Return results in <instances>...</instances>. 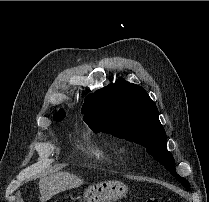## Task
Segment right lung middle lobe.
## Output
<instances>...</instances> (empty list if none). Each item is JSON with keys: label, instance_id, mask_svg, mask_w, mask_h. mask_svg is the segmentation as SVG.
Returning a JSON list of instances; mask_svg holds the SVG:
<instances>
[{"label": "right lung middle lobe", "instance_id": "1", "mask_svg": "<svg viewBox=\"0 0 209 202\" xmlns=\"http://www.w3.org/2000/svg\"><path fill=\"white\" fill-rule=\"evenodd\" d=\"M65 115L66 114L63 110L59 111L57 114L54 115V120L59 122L65 117Z\"/></svg>", "mask_w": 209, "mask_h": 202}]
</instances>
